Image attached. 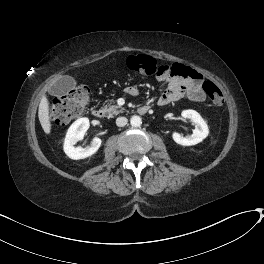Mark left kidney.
Instances as JSON below:
<instances>
[{
  "instance_id": "1",
  "label": "left kidney",
  "mask_w": 264,
  "mask_h": 264,
  "mask_svg": "<svg viewBox=\"0 0 264 264\" xmlns=\"http://www.w3.org/2000/svg\"><path fill=\"white\" fill-rule=\"evenodd\" d=\"M181 115L185 119L192 120V122L195 125V129L193 130V134L187 137H184L177 132H173L172 133L173 140L177 144L183 146L196 145L202 142L209 134V129L204 119L200 116L198 112L190 109L182 111Z\"/></svg>"
}]
</instances>
